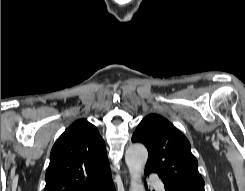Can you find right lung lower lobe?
Returning <instances> with one entry per match:
<instances>
[{"label":"right lung lower lobe","mask_w":245,"mask_h":191,"mask_svg":"<svg viewBox=\"0 0 245 191\" xmlns=\"http://www.w3.org/2000/svg\"><path fill=\"white\" fill-rule=\"evenodd\" d=\"M84 191H116L112 178L105 180L104 182L91 185Z\"/></svg>","instance_id":"obj_1"}]
</instances>
